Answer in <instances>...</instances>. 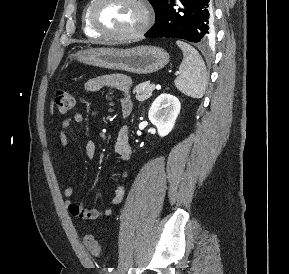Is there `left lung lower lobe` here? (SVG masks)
<instances>
[{
	"label": "left lung lower lobe",
	"mask_w": 289,
	"mask_h": 274,
	"mask_svg": "<svg viewBox=\"0 0 289 274\" xmlns=\"http://www.w3.org/2000/svg\"><path fill=\"white\" fill-rule=\"evenodd\" d=\"M168 0L146 37H174L195 43H206L214 37L210 0Z\"/></svg>",
	"instance_id": "0a47b994"
}]
</instances>
